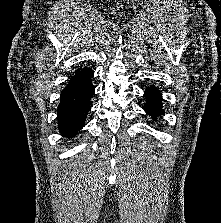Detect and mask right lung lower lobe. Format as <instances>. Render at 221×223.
I'll return each mask as SVG.
<instances>
[{"mask_svg":"<svg viewBox=\"0 0 221 223\" xmlns=\"http://www.w3.org/2000/svg\"><path fill=\"white\" fill-rule=\"evenodd\" d=\"M92 77L93 71L86 67L75 73L61 92L57 119L59 131L65 137L75 136L85 125L95 91Z\"/></svg>","mask_w":221,"mask_h":223,"instance_id":"98d812e1","label":"right lung lower lobe"}]
</instances>
